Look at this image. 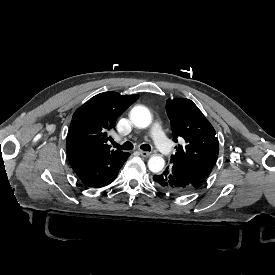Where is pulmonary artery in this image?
I'll list each match as a JSON object with an SVG mask.
<instances>
[{"instance_id":"pulmonary-artery-1","label":"pulmonary artery","mask_w":275,"mask_h":275,"mask_svg":"<svg viewBox=\"0 0 275 275\" xmlns=\"http://www.w3.org/2000/svg\"><path fill=\"white\" fill-rule=\"evenodd\" d=\"M151 140L154 143V146L156 148L157 153L159 155L165 157V158H170L173 155L172 150L168 149L169 144L167 142V138L162 131L161 126L156 125L154 126L152 132H151ZM126 140L123 138H118L116 139V143L118 144H123Z\"/></svg>"}]
</instances>
